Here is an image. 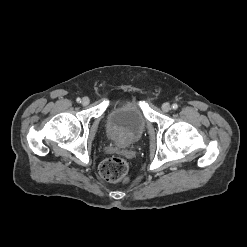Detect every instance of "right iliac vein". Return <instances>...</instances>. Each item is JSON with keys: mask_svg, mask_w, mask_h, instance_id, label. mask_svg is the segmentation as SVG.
Returning a JSON list of instances; mask_svg holds the SVG:
<instances>
[{"mask_svg": "<svg viewBox=\"0 0 247 247\" xmlns=\"http://www.w3.org/2000/svg\"><path fill=\"white\" fill-rule=\"evenodd\" d=\"M81 103L83 106H87L90 103V99L88 97H84Z\"/></svg>", "mask_w": 247, "mask_h": 247, "instance_id": "obj_1", "label": "right iliac vein"}]
</instances>
